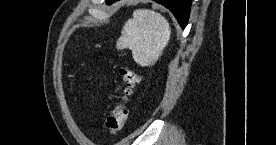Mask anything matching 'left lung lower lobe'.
<instances>
[{"mask_svg":"<svg viewBox=\"0 0 276 145\" xmlns=\"http://www.w3.org/2000/svg\"><path fill=\"white\" fill-rule=\"evenodd\" d=\"M116 0H106L107 4H112ZM168 8L184 29L187 25L192 0H154Z\"/></svg>","mask_w":276,"mask_h":145,"instance_id":"1","label":"left lung lower lobe"}]
</instances>
